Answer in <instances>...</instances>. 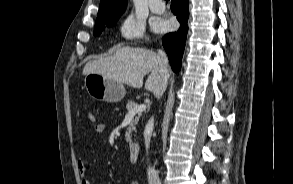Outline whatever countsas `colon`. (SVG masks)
<instances>
[{"mask_svg":"<svg viewBox=\"0 0 293 184\" xmlns=\"http://www.w3.org/2000/svg\"><path fill=\"white\" fill-rule=\"evenodd\" d=\"M88 119H89L90 122H95V120H96L95 114L93 112H89L88 113Z\"/></svg>","mask_w":293,"mask_h":184,"instance_id":"1","label":"colon"}]
</instances>
